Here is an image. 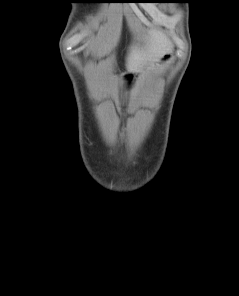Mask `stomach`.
<instances>
[{"label": "stomach", "instance_id": "1", "mask_svg": "<svg viewBox=\"0 0 239 296\" xmlns=\"http://www.w3.org/2000/svg\"><path fill=\"white\" fill-rule=\"evenodd\" d=\"M169 56H170V53L163 55V57L160 58V60L156 63L155 67H159L167 58H169ZM106 93L107 94H114L115 98H123L124 97L123 93H116L115 89H107Z\"/></svg>", "mask_w": 239, "mask_h": 296}]
</instances>
